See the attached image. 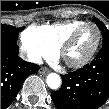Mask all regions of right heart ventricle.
Segmentation results:
<instances>
[{
  "instance_id": "obj_1",
  "label": "right heart ventricle",
  "mask_w": 109,
  "mask_h": 109,
  "mask_svg": "<svg viewBox=\"0 0 109 109\" xmlns=\"http://www.w3.org/2000/svg\"><path fill=\"white\" fill-rule=\"evenodd\" d=\"M87 23L84 20L74 19L65 22H58L49 25H35L29 27L26 32L30 34L41 35L51 42L54 46L60 47L70 33L83 24Z\"/></svg>"
}]
</instances>
